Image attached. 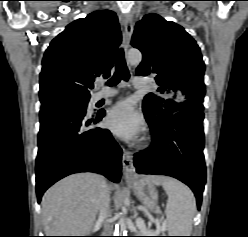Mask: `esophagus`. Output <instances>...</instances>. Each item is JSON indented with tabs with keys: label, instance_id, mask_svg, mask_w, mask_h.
<instances>
[{
	"label": "esophagus",
	"instance_id": "obj_1",
	"mask_svg": "<svg viewBox=\"0 0 248 237\" xmlns=\"http://www.w3.org/2000/svg\"><path fill=\"white\" fill-rule=\"evenodd\" d=\"M122 19L124 25L123 46L126 51L129 47L131 36L133 33V19L130 13H124ZM122 167L123 174L126 180H131L135 178L136 173L133 164V154L131 151L125 148L123 149Z\"/></svg>",
	"mask_w": 248,
	"mask_h": 237
}]
</instances>
